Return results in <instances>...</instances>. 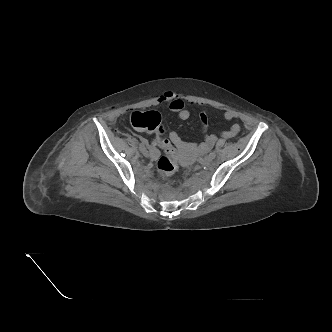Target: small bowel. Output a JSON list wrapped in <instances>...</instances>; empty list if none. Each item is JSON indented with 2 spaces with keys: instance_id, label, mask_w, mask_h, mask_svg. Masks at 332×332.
Listing matches in <instances>:
<instances>
[{
  "instance_id": "c3829d8e",
  "label": "small bowel",
  "mask_w": 332,
  "mask_h": 332,
  "mask_svg": "<svg viewBox=\"0 0 332 332\" xmlns=\"http://www.w3.org/2000/svg\"><path fill=\"white\" fill-rule=\"evenodd\" d=\"M161 101L168 102L169 108L174 112L180 120H187L190 117V111L186 108L184 100L173 92H166L160 99ZM223 117L226 121H231L237 118V113L228 108H221ZM200 121L202 130L205 132L208 128V115L205 110L200 112ZM240 132V125L233 124L227 131L221 133V137L228 139L235 137ZM169 140L178 149L184 152H204L209 150L216 142L217 136L214 134L205 135L204 141L200 144L186 143L182 140L177 132H170ZM158 139L156 138L151 147L145 151V155L150 158H157L159 151L157 149Z\"/></svg>"
}]
</instances>
